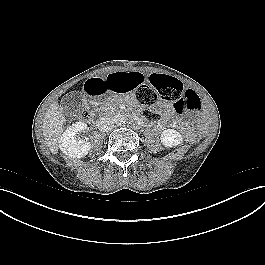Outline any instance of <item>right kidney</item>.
Wrapping results in <instances>:
<instances>
[{
	"label": "right kidney",
	"instance_id": "right-kidney-1",
	"mask_svg": "<svg viewBox=\"0 0 265 265\" xmlns=\"http://www.w3.org/2000/svg\"><path fill=\"white\" fill-rule=\"evenodd\" d=\"M86 128L87 124L84 122H76L64 131L59 141V147L65 155L73 158H82L89 153L91 143L85 140H77L76 138V134Z\"/></svg>",
	"mask_w": 265,
	"mask_h": 265
}]
</instances>
